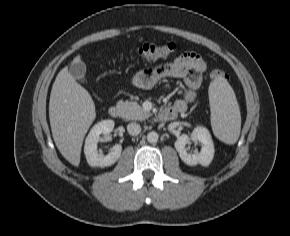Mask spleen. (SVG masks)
<instances>
[{"label": "spleen", "instance_id": "obj_1", "mask_svg": "<svg viewBox=\"0 0 290 236\" xmlns=\"http://www.w3.org/2000/svg\"><path fill=\"white\" fill-rule=\"evenodd\" d=\"M211 125L214 134L227 144H234L240 135L241 115L235 93L222 77L209 86Z\"/></svg>", "mask_w": 290, "mask_h": 236}]
</instances>
